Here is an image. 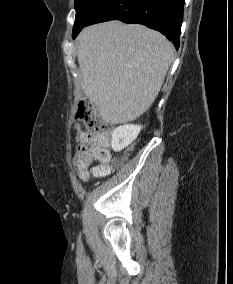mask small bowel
<instances>
[{
	"instance_id": "1",
	"label": "small bowel",
	"mask_w": 233,
	"mask_h": 284,
	"mask_svg": "<svg viewBox=\"0 0 233 284\" xmlns=\"http://www.w3.org/2000/svg\"><path fill=\"white\" fill-rule=\"evenodd\" d=\"M122 163L123 160L121 159H115L112 164H100L95 166H82L76 163L77 175L83 181H86L89 178L90 172L95 177H105Z\"/></svg>"
}]
</instances>
